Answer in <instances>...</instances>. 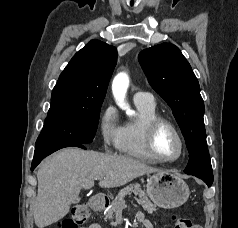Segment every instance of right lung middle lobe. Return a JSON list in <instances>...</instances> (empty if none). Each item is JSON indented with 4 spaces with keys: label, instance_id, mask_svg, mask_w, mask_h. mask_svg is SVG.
Instances as JSON below:
<instances>
[{
    "label": "right lung middle lobe",
    "instance_id": "obj_1",
    "mask_svg": "<svg viewBox=\"0 0 238 228\" xmlns=\"http://www.w3.org/2000/svg\"><path fill=\"white\" fill-rule=\"evenodd\" d=\"M101 105L94 108H68L50 112L36 145L64 142L91 143L94 139Z\"/></svg>",
    "mask_w": 238,
    "mask_h": 228
}]
</instances>
